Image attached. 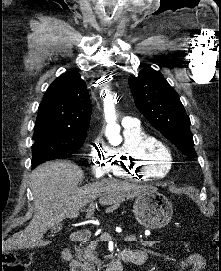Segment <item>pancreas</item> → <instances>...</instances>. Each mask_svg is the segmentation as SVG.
Here are the masks:
<instances>
[{"label":"pancreas","instance_id":"obj_1","mask_svg":"<svg viewBox=\"0 0 221 271\" xmlns=\"http://www.w3.org/2000/svg\"><path fill=\"white\" fill-rule=\"evenodd\" d=\"M110 234V233H107ZM136 244H141V247H153L154 244H159V239H136ZM97 241H90L86 247H80L77 251V259L83 261L90 271H99L100 265H103L102 259H99L96 255Z\"/></svg>","mask_w":221,"mask_h":271}]
</instances>
